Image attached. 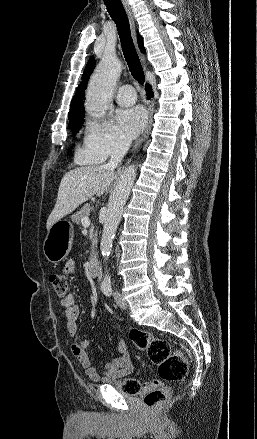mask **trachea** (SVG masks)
Wrapping results in <instances>:
<instances>
[{"instance_id":"trachea-1","label":"trachea","mask_w":257,"mask_h":439,"mask_svg":"<svg viewBox=\"0 0 257 439\" xmlns=\"http://www.w3.org/2000/svg\"><path fill=\"white\" fill-rule=\"evenodd\" d=\"M103 1L107 7V11L117 25L122 51L129 70L134 79L140 84H143L145 80L144 71L131 37L130 26L125 9L120 0Z\"/></svg>"}]
</instances>
